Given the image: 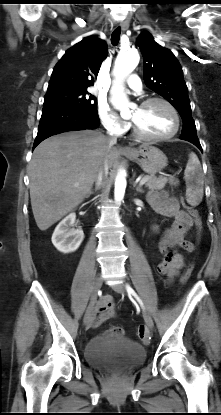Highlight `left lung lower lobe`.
<instances>
[{
	"mask_svg": "<svg viewBox=\"0 0 221 415\" xmlns=\"http://www.w3.org/2000/svg\"><path fill=\"white\" fill-rule=\"evenodd\" d=\"M180 139L193 143L195 146H197L202 151V147L200 145V142L198 140L197 133L195 130L182 131Z\"/></svg>",
	"mask_w": 221,
	"mask_h": 415,
	"instance_id": "0a47b994",
	"label": "left lung lower lobe"
}]
</instances>
